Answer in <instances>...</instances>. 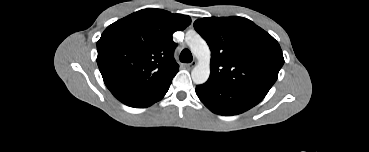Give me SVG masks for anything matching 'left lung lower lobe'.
<instances>
[{
    "label": "left lung lower lobe",
    "mask_w": 369,
    "mask_h": 152,
    "mask_svg": "<svg viewBox=\"0 0 369 152\" xmlns=\"http://www.w3.org/2000/svg\"><path fill=\"white\" fill-rule=\"evenodd\" d=\"M196 94L212 112L237 115L257 105L264 97L245 91L226 88L212 81L196 86Z\"/></svg>",
    "instance_id": "left-lung-lower-lobe-1"
}]
</instances>
